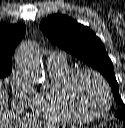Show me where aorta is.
<instances>
[{
    "mask_svg": "<svg viewBox=\"0 0 125 128\" xmlns=\"http://www.w3.org/2000/svg\"><path fill=\"white\" fill-rule=\"evenodd\" d=\"M16 60L20 66L28 69L38 81L44 79V69L41 65L40 58L31 43H25L19 48Z\"/></svg>",
    "mask_w": 125,
    "mask_h": 128,
    "instance_id": "1",
    "label": "aorta"
}]
</instances>
